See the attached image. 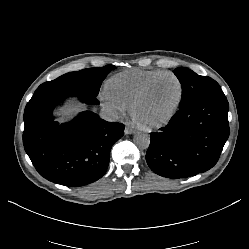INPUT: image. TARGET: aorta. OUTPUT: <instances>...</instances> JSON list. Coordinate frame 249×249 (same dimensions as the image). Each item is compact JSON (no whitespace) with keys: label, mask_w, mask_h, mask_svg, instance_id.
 Segmentation results:
<instances>
[{"label":"aorta","mask_w":249,"mask_h":249,"mask_svg":"<svg viewBox=\"0 0 249 249\" xmlns=\"http://www.w3.org/2000/svg\"><path fill=\"white\" fill-rule=\"evenodd\" d=\"M133 142L139 149H147L150 144V137L144 132H137L134 134Z\"/></svg>","instance_id":"762f6f07"}]
</instances>
